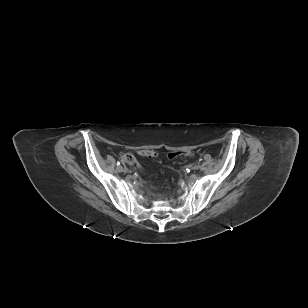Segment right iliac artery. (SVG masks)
<instances>
[{
	"label": "right iliac artery",
	"instance_id": "1",
	"mask_svg": "<svg viewBox=\"0 0 308 308\" xmlns=\"http://www.w3.org/2000/svg\"><path fill=\"white\" fill-rule=\"evenodd\" d=\"M117 166H118V167H117V170H118V172H120V171H121V168H120V167H121V166H120V162H117Z\"/></svg>",
	"mask_w": 308,
	"mask_h": 308
}]
</instances>
